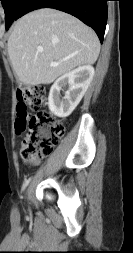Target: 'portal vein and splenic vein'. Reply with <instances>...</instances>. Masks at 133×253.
Instances as JSON below:
<instances>
[{"mask_svg": "<svg viewBox=\"0 0 133 253\" xmlns=\"http://www.w3.org/2000/svg\"><path fill=\"white\" fill-rule=\"evenodd\" d=\"M37 51L39 53H42L43 52V47H37ZM51 65H56V64L52 62Z\"/></svg>", "mask_w": 133, "mask_h": 253, "instance_id": "obj_1", "label": "portal vein and splenic vein"}]
</instances>
